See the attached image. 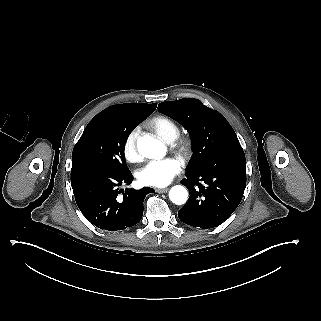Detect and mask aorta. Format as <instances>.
<instances>
[{
	"label": "aorta",
	"mask_w": 321,
	"mask_h": 321,
	"mask_svg": "<svg viewBox=\"0 0 321 321\" xmlns=\"http://www.w3.org/2000/svg\"><path fill=\"white\" fill-rule=\"evenodd\" d=\"M137 147L140 154L147 158H157L165 154V146L161 141L150 137L143 136L137 141ZM170 200L176 205H182L187 201L188 192L185 187L176 185L169 192Z\"/></svg>",
	"instance_id": "obj_1"
}]
</instances>
